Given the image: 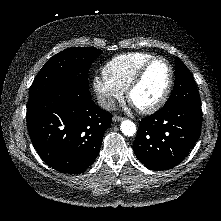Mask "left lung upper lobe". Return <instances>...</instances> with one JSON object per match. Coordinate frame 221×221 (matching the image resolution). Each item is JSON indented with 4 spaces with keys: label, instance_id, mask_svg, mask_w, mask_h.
<instances>
[{
    "label": "left lung upper lobe",
    "instance_id": "obj_1",
    "mask_svg": "<svg viewBox=\"0 0 221 221\" xmlns=\"http://www.w3.org/2000/svg\"><path fill=\"white\" fill-rule=\"evenodd\" d=\"M175 84L173 91L164 106L172 104H192L201 106L195 82L185 64L175 58Z\"/></svg>",
    "mask_w": 221,
    "mask_h": 221
}]
</instances>
